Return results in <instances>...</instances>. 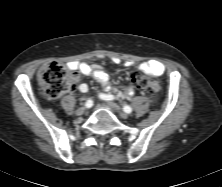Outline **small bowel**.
<instances>
[{
  "label": "small bowel",
  "instance_id": "small-bowel-1",
  "mask_svg": "<svg viewBox=\"0 0 222 187\" xmlns=\"http://www.w3.org/2000/svg\"><path fill=\"white\" fill-rule=\"evenodd\" d=\"M114 61L116 63L119 62L117 59H115ZM125 65L127 67H131L133 65V62L127 61ZM68 67L71 70L77 71L78 74L93 76L102 85L105 91L109 90V86H108L109 76L104 70L100 69L99 67L88 64V63H80L76 61L70 62L68 64ZM136 69H137V73H145L152 76H160L164 72L163 64L156 60H149V61L142 62L137 66ZM78 91L81 93L87 92L88 85L86 83H80L78 85ZM133 94H134V88L132 86H128L125 88L121 96L123 98H129L133 96ZM101 95L103 94H100V97Z\"/></svg>",
  "mask_w": 222,
  "mask_h": 187
}]
</instances>
